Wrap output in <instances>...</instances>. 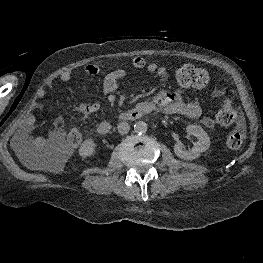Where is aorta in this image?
Here are the masks:
<instances>
[{"mask_svg":"<svg viewBox=\"0 0 263 263\" xmlns=\"http://www.w3.org/2000/svg\"><path fill=\"white\" fill-rule=\"evenodd\" d=\"M148 129V126H147V123L144 122V121H137L135 124H134V131L138 134H143L147 131Z\"/></svg>","mask_w":263,"mask_h":263,"instance_id":"762f6f07","label":"aorta"}]
</instances>
